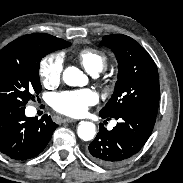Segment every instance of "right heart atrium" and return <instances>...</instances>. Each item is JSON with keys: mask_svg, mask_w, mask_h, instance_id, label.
<instances>
[{"mask_svg": "<svg viewBox=\"0 0 183 183\" xmlns=\"http://www.w3.org/2000/svg\"><path fill=\"white\" fill-rule=\"evenodd\" d=\"M63 71V60L58 54H50L42 59L39 66V75L42 83L47 87L59 84Z\"/></svg>", "mask_w": 183, "mask_h": 183, "instance_id": "d8ad5b80", "label": "right heart atrium"}]
</instances>
